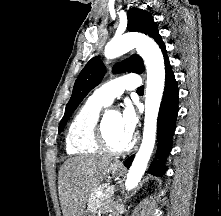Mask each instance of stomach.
I'll list each match as a JSON object with an SVG mask.
<instances>
[{"mask_svg": "<svg viewBox=\"0 0 221 216\" xmlns=\"http://www.w3.org/2000/svg\"><path fill=\"white\" fill-rule=\"evenodd\" d=\"M109 170L112 174H119L121 172V168L118 167L116 164H111L109 167ZM82 216H94V213H92L90 210L84 211Z\"/></svg>", "mask_w": 221, "mask_h": 216, "instance_id": "1", "label": "stomach"}]
</instances>
